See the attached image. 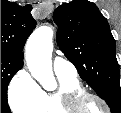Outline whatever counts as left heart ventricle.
I'll return each instance as SVG.
<instances>
[{
    "mask_svg": "<svg viewBox=\"0 0 121 113\" xmlns=\"http://www.w3.org/2000/svg\"><path fill=\"white\" fill-rule=\"evenodd\" d=\"M83 109L89 111V113H104V107L96 100H87Z\"/></svg>",
    "mask_w": 121,
    "mask_h": 113,
    "instance_id": "1",
    "label": "left heart ventricle"
}]
</instances>
